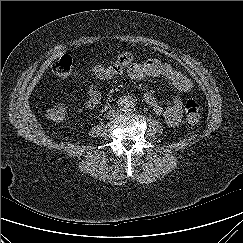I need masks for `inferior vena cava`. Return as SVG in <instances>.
Returning <instances> with one entry per match:
<instances>
[{
	"label": "inferior vena cava",
	"mask_w": 243,
	"mask_h": 243,
	"mask_svg": "<svg viewBox=\"0 0 243 243\" xmlns=\"http://www.w3.org/2000/svg\"><path fill=\"white\" fill-rule=\"evenodd\" d=\"M118 116H119V111L112 109V110H109L107 112V116L106 117H107V119L113 120V119H115Z\"/></svg>",
	"instance_id": "1"
}]
</instances>
